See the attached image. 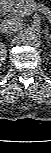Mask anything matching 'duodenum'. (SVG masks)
<instances>
[{
    "mask_svg": "<svg viewBox=\"0 0 51 153\" xmlns=\"http://www.w3.org/2000/svg\"><path fill=\"white\" fill-rule=\"evenodd\" d=\"M9 6V0H5L2 2L1 6H0V14H4Z\"/></svg>",
    "mask_w": 51,
    "mask_h": 153,
    "instance_id": "1",
    "label": "duodenum"
}]
</instances>
